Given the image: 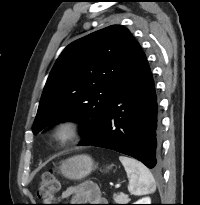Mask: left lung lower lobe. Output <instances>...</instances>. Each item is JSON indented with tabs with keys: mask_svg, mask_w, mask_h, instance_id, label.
<instances>
[{
	"mask_svg": "<svg viewBox=\"0 0 200 205\" xmlns=\"http://www.w3.org/2000/svg\"><path fill=\"white\" fill-rule=\"evenodd\" d=\"M92 145L129 155L148 168L159 165V120L154 81L136 43L115 85L108 113Z\"/></svg>",
	"mask_w": 200,
	"mask_h": 205,
	"instance_id": "0a47b994",
	"label": "left lung lower lobe"
}]
</instances>
